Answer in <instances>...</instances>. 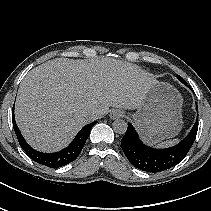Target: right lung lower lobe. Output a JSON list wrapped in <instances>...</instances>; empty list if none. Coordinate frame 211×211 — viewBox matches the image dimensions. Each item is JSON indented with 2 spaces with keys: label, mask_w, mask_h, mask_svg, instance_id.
<instances>
[{
  "label": "right lung lower lobe",
  "mask_w": 211,
  "mask_h": 211,
  "mask_svg": "<svg viewBox=\"0 0 211 211\" xmlns=\"http://www.w3.org/2000/svg\"><path fill=\"white\" fill-rule=\"evenodd\" d=\"M12 122L13 128L18 138V142L21 148L26 152V154L33 159L35 162L45 165L50 168H59L69 164L74 161L80 154L84 144L90 134L91 128L97 123L94 121L86 126H84L76 135L71 144L65 149L55 152V153H42L34 150L28 145V143L23 138L20 130L18 129L15 117H14V107L12 110Z\"/></svg>",
  "instance_id": "98d812e1"
}]
</instances>
